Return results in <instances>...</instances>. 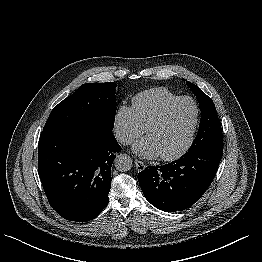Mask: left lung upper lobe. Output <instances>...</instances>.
<instances>
[{
    "label": "left lung upper lobe",
    "mask_w": 262,
    "mask_h": 262,
    "mask_svg": "<svg viewBox=\"0 0 262 262\" xmlns=\"http://www.w3.org/2000/svg\"><path fill=\"white\" fill-rule=\"evenodd\" d=\"M196 95L201 110L198 134L189 151L208 147H223L221 125L213 101L195 84L186 82Z\"/></svg>",
    "instance_id": "5c2ea615"
}]
</instances>
